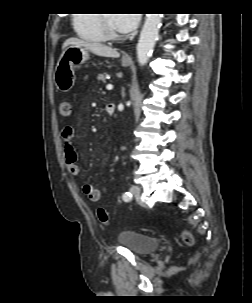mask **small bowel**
<instances>
[{
	"mask_svg": "<svg viewBox=\"0 0 252 303\" xmlns=\"http://www.w3.org/2000/svg\"><path fill=\"white\" fill-rule=\"evenodd\" d=\"M73 129L70 126H65L62 131V138H63V155L64 161L66 165V169L68 173L78 178L80 176V169L77 165V151L73 144ZM83 192L87 196L88 200L96 203L101 199V196L105 192V189L96 188L94 185L90 183H86L83 185Z\"/></svg>",
	"mask_w": 252,
	"mask_h": 303,
	"instance_id": "c3829d8e",
	"label": "small bowel"
}]
</instances>
